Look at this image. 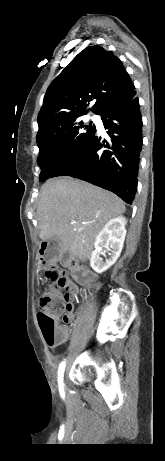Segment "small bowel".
<instances>
[{"label":"small bowel","mask_w":165,"mask_h":461,"mask_svg":"<svg viewBox=\"0 0 165 461\" xmlns=\"http://www.w3.org/2000/svg\"><path fill=\"white\" fill-rule=\"evenodd\" d=\"M66 260L68 261L69 259L67 258ZM84 268V263H67L66 267L63 269V278L68 281V291L62 292V302L64 303L65 309H70L68 313H61V321L63 324H70L73 319V309L76 305L74 297L78 292L77 285L70 280L72 278L71 271H83ZM88 278L93 279L94 275L90 274L88 276L87 274H79L80 282H86ZM59 332L61 338L59 342L55 345L56 347L63 345L68 341L71 335V329L68 326L64 325L60 327Z\"/></svg>","instance_id":"small-bowel-1"}]
</instances>
